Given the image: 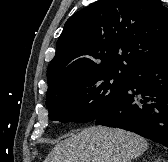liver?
I'll return each instance as SVG.
<instances>
[{"mask_svg":"<svg viewBox=\"0 0 168 162\" xmlns=\"http://www.w3.org/2000/svg\"><path fill=\"white\" fill-rule=\"evenodd\" d=\"M148 148L141 136L108 127H89L59 142L44 162H132Z\"/></svg>","mask_w":168,"mask_h":162,"instance_id":"liver-1","label":"liver"}]
</instances>
